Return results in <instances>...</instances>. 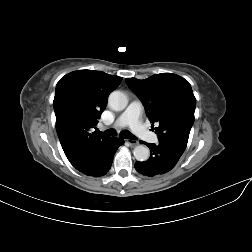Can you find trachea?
<instances>
[{
	"label": "trachea",
	"mask_w": 252,
	"mask_h": 252,
	"mask_svg": "<svg viewBox=\"0 0 252 252\" xmlns=\"http://www.w3.org/2000/svg\"><path fill=\"white\" fill-rule=\"evenodd\" d=\"M100 133H102L103 135L112 136V137L116 135V132L113 129H108V130H106L104 132H100ZM120 136L124 139H132V140L136 139V137L133 134H131L130 132H127V131L121 132Z\"/></svg>",
	"instance_id": "1"
}]
</instances>
